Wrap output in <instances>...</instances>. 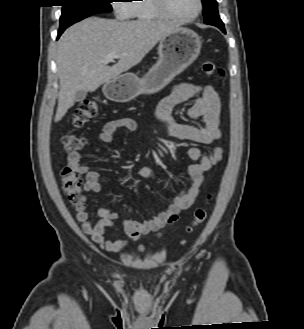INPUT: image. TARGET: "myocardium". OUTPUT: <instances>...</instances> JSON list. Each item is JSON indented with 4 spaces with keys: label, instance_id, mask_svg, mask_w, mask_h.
<instances>
[{
    "label": "myocardium",
    "instance_id": "f54148a6",
    "mask_svg": "<svg viewBox=\"0 0 304 329\" xmlns=\"http://www.w3.org/2000/svg\"><path fill=\"white\" fill-rule=\"evenodd\" d=\"M198 2V9L197 11L191 16H179L174 14L168 5V0H154V4L158 11L164 16V18L177 21V22H189L195 20L203 11V1L197 0Z\"/></svg>",
    "mask_w": 304,
    "mask_h": 329
}]
</instances>
